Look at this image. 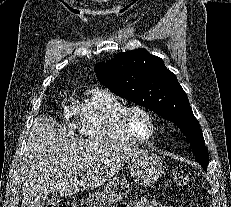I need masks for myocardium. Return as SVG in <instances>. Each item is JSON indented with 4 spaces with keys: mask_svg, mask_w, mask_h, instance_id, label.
<instances>
[{
    "mask_svg": "<svg viewBox=\"0 0 231 207\" xmlns=\"http://www.w3.org/2000/svg\"><path fill=\"white\" fill-rule=\"evenodd\" d=\"M133 111H141L145 113L151 123V132L147 137H141L133 130L131 123H130V113ZM119 123L123 129V131L134 141L145 143L152 140V138L155 136L157 131V122L156 117L152 110H150L148 107L138 104V103H131L128 105H124L122 109L119 112Z\"/></svg>",
    "mask_w": 231,
    "mask_h": 207,
    "instance_id": "1",
    "label": "myocardium"
}]
</instances>
